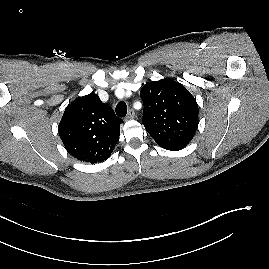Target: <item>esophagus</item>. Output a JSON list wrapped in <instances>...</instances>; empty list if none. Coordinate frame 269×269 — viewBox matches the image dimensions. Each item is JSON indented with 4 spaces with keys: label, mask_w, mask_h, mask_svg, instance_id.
<instances>
[{
    "label": "esophagus",
    "mask_w": 269,
    "mask_h": 269,
    "mask_svg": "<svg viewBox=\"0 0 269 269\" xmlns=\"http://www.w3.org/2000/svg\"><path fill=\"white\" fill-rule=\"evenodd\" d=\"M135 116V112L133 109H129L126 118L127 119H133Z\"/></svg>",
    "instance_id": "1"
}]
</instances>
